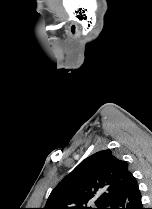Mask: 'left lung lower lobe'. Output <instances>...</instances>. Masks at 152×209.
I'll return each instance as SVG.
<instances>
[{
    "label": "left lung lower lobe",
    "instance_id": "0a47b994",
    "mask_svg": "<svg viewBox=\"0 0 152 209\" xmlns=\"http://www.w3.org/2000/svg\"><path fill=\"white\" fill-rule=\"evenodd\" d=\"M109 209H143L136 179L130 176L128 183Z\"/></svg>",
    "mask_w": 152,
    "mask_h": 209
}]
</instances>
